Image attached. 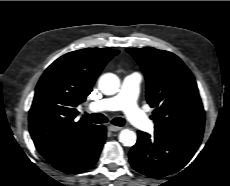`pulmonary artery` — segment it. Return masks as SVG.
Here are the masks:
<instances>
[{"label":"pulmonary artery","instance_id":"obj_1","mask_svg":"<svg viewBox=\"0 0 230 186\" xmlns=\"http://www.w3.org/2000/svg\"><path fill=\"white\" fill-rule=\"evenodd\" d=\"M141 81L142 76L139 73L127 75L116 95L90 103V110L102 112L121 109L135 127L146 132H153V122L138 107L136 101Z\"/></svg>","mask_w":230,"mask_h":186}]
</instances>
